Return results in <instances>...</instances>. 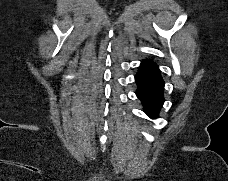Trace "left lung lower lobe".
I'll list each match as a JSON object with an SVG mask.
<instances>
[{"instance_id":"1","label":"left lung lower lobe","mask_w":228,"mask_h":181,"mask_svg":"<svg viewBox=\"0 0 228 181\" xmlns=\"http://www.w3.org/2000/svg\"><path fill=\"white\" fill-rule=\"evenodd\" d=\"M137 97L141 100L144 110L151 118L158 116L164 103V81L158 66L151 60H144L135 76Z\"/></svg>"}]
</instances>
